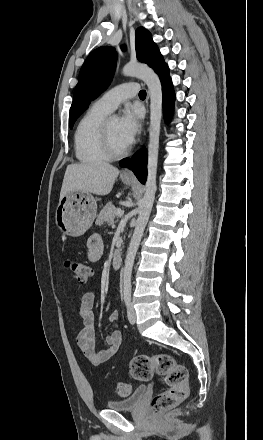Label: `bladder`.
I'll return each instance as SVG.
<instances>
[{"label": "bladder", "instance_id": "31cf9c89", "mask_svg": "<svg viewBox=\"0 0 263 440\" xmlns=\"http://www.w3.org/2000/svg\"><path fill=\"white\" fill-rule=\"evenodd\" d=\"M147 392L146 386H138L132 394L125 398L109 400L106 407L114 411H132L135 410L141 403Z\"/></svg>", "mask_w": 263, "mask_h": 440}]
</instances>
